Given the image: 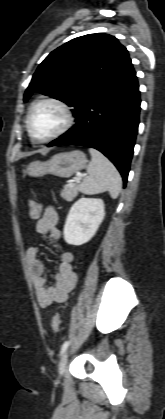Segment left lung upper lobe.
Returning a JSON list of instances; mask_svg holds the SVG:
<instances>
[{"label": "left lung upper lobe", "instance_id": "obj_1", "mask_svg": "<svg viewBox=\"0 0 165 419\" xmlns=\"http://www.w3.org/2000/svg\"><path fill=\"white\" fill-rule=\"evenodd\" d=\"M131 59L127 49L108 34L75 38L52 51L39 65L25 91L54 97L75 108L96 95Z\"/></svg>", "mask_w": 165, "mask_h": 419}]
</instances>
